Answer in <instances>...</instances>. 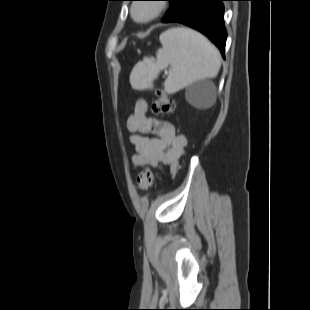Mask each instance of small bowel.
<instances>
[{
    "label": "small bowel",
    "mask_w": 310,
    "mask_h": 310,
    "mask_svg": "<svg viewBox=\"0 0 310 310\" xmlns=\"http://www.w3.org/2000/svg\"><path fill=\"white\" fill-rule=\"evenodd\" d=\"M147 111L146 99L140 98L127 120V128L132 133L130 141L135 148L132 164L135 168L169 166L175 172L185 155L188 139L183 134H177L170 122L148 116Z\"/></svg>",
    "instance_id": "c3829d8e"
}]
</instances>
